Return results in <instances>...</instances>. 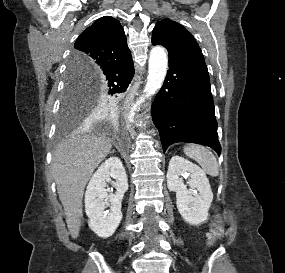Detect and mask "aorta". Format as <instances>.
<instances>
[{
    "label": "aorta",
    "instance_id": "aorta-1",
    "mask_svg": "<svg viewBox=\"0 0 285 273\" xmlns=\"http://www.w3.org/2000/svg\"><path fill=\"white\" fill-rule=\"evenodd\" d=\"M168 66V57L165 49L161 46H154L149 55V68L144 94L136 101L130 111V118L146 98L154 95L162 86Z\"/></svg>",
    "mask_w": 285,
    "mask_h": 273
}]
</instances>
